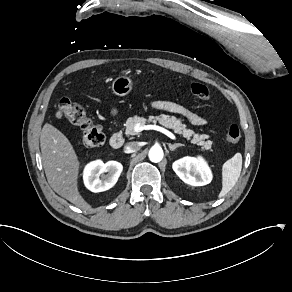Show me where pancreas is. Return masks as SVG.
<instances>
[{
    "instance_id": "1",
    "label": "pancreas",
    "mask_w": 292,
    "mask_h": 292,
    "mask_svg": "<svg viewBox=\"0 0 292 292\" xmlns=\"http://www.w3.org/2000/svg\"><path fill=\"white\" fill-rule=\"evenodd\" d=\"M146 122H153L154 124L158 122L159 124L166 128L173 129L175 133L182 134L183 137L188 140L193 136V138L191 139V143L202 146L201 147L202 150L211 149L212 141L211 140L205 141V139L208 138V135L195 134L193 130L186 129V125L182 124L181 120L177 119L175 116H169L165 114H161L159 116H149L148 119L138 116L130 117L126 121L125 134L137 135L138 132L134 130L135 125L140 124L144 126Z\"/></svg>"
}]
</instances>
